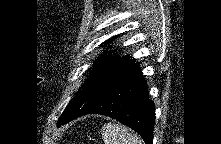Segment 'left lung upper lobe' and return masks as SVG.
Returning <instances> with one entry per match:
<instances>
[{
    "label": "left lung upper lobe",
    "instance_id": "1",
    "mask_svg": "<svg viewBox=\"0 0 221 144\" xmlns=\"http://www.w3.org/2000/svg\"><path fill=\"white\" fill-rule=\"evenodd\" d=\"M133 62L134 59L128 55L117 58L103 53L93 63V71L88 75L82 90L79 91L78 95L71 100L64 110L58 121V126L77 118L96 104Z\"/></svg>",
    "mask_w": 221,
    "mask_h": 144
}]
</instances>
